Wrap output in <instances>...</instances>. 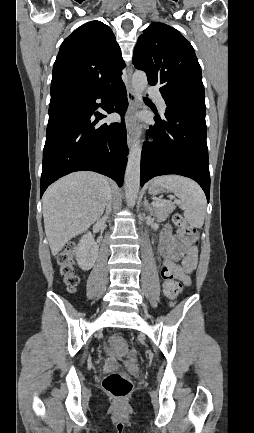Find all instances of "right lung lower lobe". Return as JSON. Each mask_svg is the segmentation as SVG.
<instances>
[{
	"label": "right lung lower lobe",
	"mask_w": 254,
	"mask_h": 433,
	"mask_svg": "<svg viewBox=\"0 0 254 433\" xmlns=\"http://www.w3.org/2000/svg\"><path fill=\"white\" fill-rule=\"evenodd\" d=\"M99 98L104 107L96 103ZM99 106L109 114L124 116L127 94L123 81L95 91L51 95L40 197L60 177L81 170L101 173L122 186L128 155L126 126L123 122L96 125L106 117L95 112Z\"/></svg>",
	"instance_id": "98d812e1"
}]
</instances>
